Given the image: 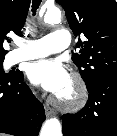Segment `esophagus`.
Segmentation results:
<instances>
[{
    "instance_id": "1",
    "label": "esophagus",
    "mask_w": 117,
    "mask_h": 136,
    "mask_svg": "<svg viewBox=\"0 0 117 136\" xmlns=\"http://www.w3.org/2000/svg\"><path fill=\"white\" fill-rule=\"evenodd\" d=\"M45 113L47 117H50L54 114L53 110L49 106H45Z\"/></svg>"
}]
</instances>
